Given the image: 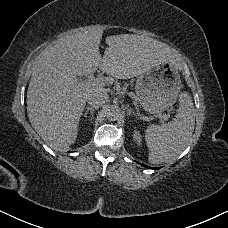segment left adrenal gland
<instances>
[{
  "label": "left adrenal gland",
  "mask_w": 228,
  "mask_h": 228,
  "mask_svg": "<svg viewBox=\"0 0 228 228\" xmlns=\"http://www.w3.org/2000/svg\"><path fill=\"white\" fill-rule=\"evenodd\" d=\"M128 110V116H133V117H136V114L132 111V109L129 108V106H127L126 108Z\"/></svg>",
  "instance_id": "a2214340"
}]
</instances>
